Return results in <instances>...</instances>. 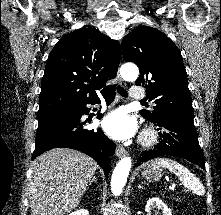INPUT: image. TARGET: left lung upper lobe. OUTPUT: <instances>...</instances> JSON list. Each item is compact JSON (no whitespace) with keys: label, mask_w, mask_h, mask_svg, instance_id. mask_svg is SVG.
<instances>
[{"label":"left lung upper lobe","mask_w":221,"mask_h":215,"mask_svg":"<svg viewBox=\"0 0 221 215\" xmlns=\"http://www.w3.org/2000/svg\"><path fill=\"white\" fill-rule=\"evenodd\" d=\"M122 52L126 62L140 70L136 85L145 86L153 112L141 110L149 121L162 117L194 118L191 94L183 59L176 45L161 31L142 26L123 38Z\"/></svg>","instance_id":"5c2ea615"}]
</instances>
